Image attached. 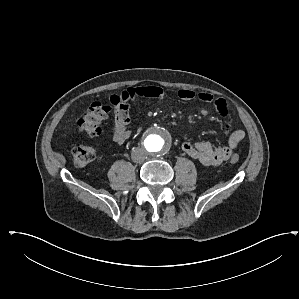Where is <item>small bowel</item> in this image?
<instances>
[{
	"label": "small bowel",
	"mask_w": 299,
	"mask_h": 299,
	"mask_svg": "<svg viewBox=\"0 0 299 299\" xmlns=\"http://www.w3.org/2000/svg\"><path fill=\"white\" fill-rule=\"evenodd\" d=\"M164 91L159 86H142L127 88L109 96L113 106L110 118V135L112 140L121 145L131 136L129 124L131 121V103L136 98L160 100ZM178 97L184 101H191L196 97L206 103H213L217 113L224 120L225 134L228 136L227 146H213L208 142H183L181 148L189 157L205 166H218L228 160L231 152L245 139V132L241 129L232 130L228 104L223 98H214L210 93H196L190 89H180Z\"/></svg>",
	"instance_id": "c3829d8e"
}]
</instances>
